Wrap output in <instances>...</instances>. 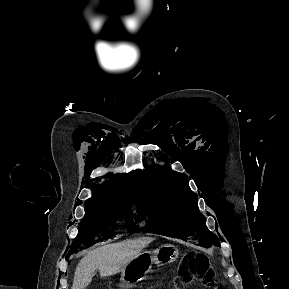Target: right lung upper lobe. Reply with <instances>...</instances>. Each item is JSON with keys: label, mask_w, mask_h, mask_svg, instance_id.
Wrapping results in <instances>:
<instances>
[{"label": "right lung upper lobe", "mask_w": 289, "mask_h": 289, "mask_svg": "<svg viewBox=\"0 0 289 289\" xmlns=\"http://www.w3.org/2000/svg\"><path fill=\"white\" fill-rule=\"evenodd\" d=\"M135 189L129 185V174L110 175L109 181L95 187L86 204L137 202Z\"/></svg>", "instance_id": "cb5924a9"}]
</instances>
